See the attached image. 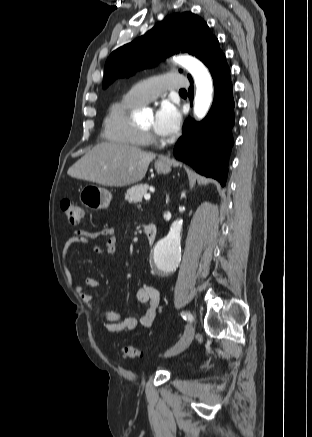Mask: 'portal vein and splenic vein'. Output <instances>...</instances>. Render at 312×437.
Masks as SVG:
<instances>
[{
    "label": "portal vein and splenic vein",
    "instance_id": "obj_1",
    "mask_svg": "<svg viewBox=\"0 0 312 437\" xmlns=\"http://www.w3.org/2000/svg\"><path fill=\"white\" fill-rule=\"evenodd\" d=\"M150 197H151L150 194H145V195H144L145 200H149Z\"/></svg>",
    "mask_w": 312,
    "mask_h": 437
}]
</instances>
